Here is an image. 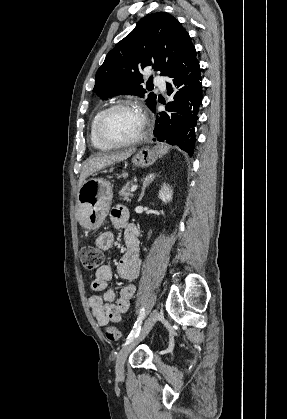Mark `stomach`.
Instances as JSON below:
<instances>
[{
	"label": "stomach",
	"instance_id": "1",
	"mask_svg": "<svg viewBox=\"0 0 287 419\" xmlns=\"http://www.w3.org/2000/svg\"><path fill=\"white\" fill-rule=\"evenodd\" d=\"M168 147L157 144L144 147L132 158L135 166L146 168L165 155ZM112 185L103 178H90L79 188L76 213L81 224L89 230H97L104 222L112 202Z\"/></svg>",
	"mask_w": 287,
	"mask_h": 419
}]
</instances>
